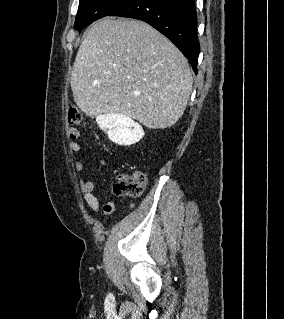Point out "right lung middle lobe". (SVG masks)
I'll return each mask as SVG.
<instances>
[{
  "mask_svg": "<svg viewBox=\"0 0 284 319\" xmlns=\"http://www.w3.org/2000/svg\"><path fill=\"white\" fill-rule=\"evenodd\" d=\"M130 0H80L75 19V29L79 32L93 21L108 16Z\"/></svg>",
  "mask_w": 284,
  "mask_h": 319,
  "instance_id": "obj_1",
  "label": "right lung middle lobe"
}]
</instances>
